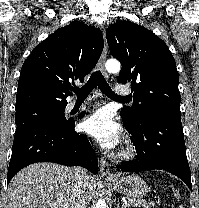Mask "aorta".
<instances>
[{
  "label": "aorta",
  "instance_id": "obj_1",
  "mask_svg": "<svg viewBox=\"0 0 199 208\" xmlns=\"http://www.w3.org/2000/svg\"><path fill=\"white\" fill-rule=\"evenodd\" d=\"M105 67L109 73H118L121 69L120 62L115 59L108 60L106 62ZM95 208H106L105 200L101 198L98 199V201L96 202Z\"/></svg>",
  "mask_w": 199,
  "mask_h": 208
}]
</instances>
